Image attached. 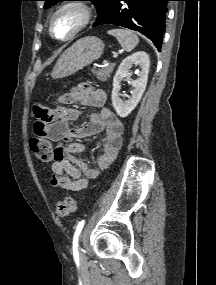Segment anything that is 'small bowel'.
Returning <instances> with one entry per match:
<instances>
[{
	"label": "small bowel",
	"instance_id": "c3829d8e",
	"mask_svg": "<svg viewBox=\"0 0 216 285\" xmlns=\"http://www.w3.org/2000/svg\"><path fill=\"white\" fill-rule=\"evenodd\" d=\"M106 100L103 90L93 89L88 84H81L66 94L62 98L65 103L86 104L98 108L97 112L90 113L84 126L75 128H71L70 124L79 116L77 109L63 107L50 111L35 107V136H47L58 143L51 167L53 186L80 191L88 186L91 179L98 176L100 169L107 168L116 158L122 145L123 124L106 105ZM97 134H102L101 152L97 157V166H90L77 157V154L85 150V146L71 140Z\"/></svg>",
	"mask_w": 216,
	"mask_h": 285
}]
</instances>
